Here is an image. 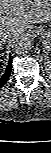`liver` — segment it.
Returning a JSON list of instances; mask_svg holds the SVG:
<instances>
[{
  "label": "liver",
  "instance_id": "obj_1",
  "mask_svg": "<svg viewBox=\"0 0 51 153\" xmlns=\"http://www.w3.org/2000/svg\"><path fill=\"white\" fill-rule=\"evenodd\" d=\"M51 21V0H0L1 35L6 42L23 33L30 24Z\"/></svg>",
  "mask_w": 51,
  "mask_h": 153
}]
</instances>
